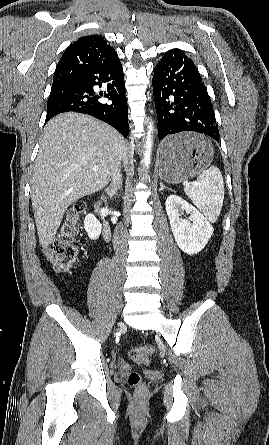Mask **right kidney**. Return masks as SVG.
<instances>
[{"label":"right kidney","mask_w":269,"mask_h":445,"mask_svg":"<svg viewBox=\"0 0 269 445\" xmlns=\"http://www.w3.org/2000/svg\"><path fill=\"white\" fill-rule=\"evenodd\" d=\"M84 228L91 240L98 239L102 230L101 223L93 214H88L85 217Z\"/></svg>","instance_id":"obj_1"}]
</instances>
